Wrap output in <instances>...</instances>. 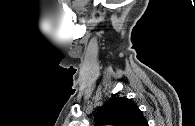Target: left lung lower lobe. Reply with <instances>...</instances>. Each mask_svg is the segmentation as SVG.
<instances>
[{"instance_id":"left-lung-lower-lobe-1","label":"left lung lower lobe","mask_w":195,"mask_h":126,"mask_svg":"<svg viewBox=\"0 0 195 126\" xmlns=\"http://www.w3.org/2000/svg\"><path fill=\"white\" fill-rule=\"evenodd\" d=\"M143 126H149L148 123H147V121L143 124Z\"/></svg>"}]
</instances>
